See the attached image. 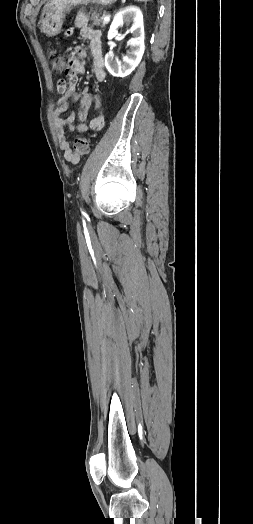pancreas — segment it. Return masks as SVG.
<instances>
[{
  "label": "pancreas",
  "instance_id": "cf45deb5",
  "mask_svg": "<svg viewBox=\"0 0 253 524\" xmlns=\"http://www.w3.org/2000/svg\"><path fill=\"white\" fill-rule=\"evenodd\" d=\"M91 21L94 25L105 27L106 23H102L101 10H92L91 11Z\"/></svg>",
  "mask_w": 253,
  "mask_h": 524
}]
</instances>
